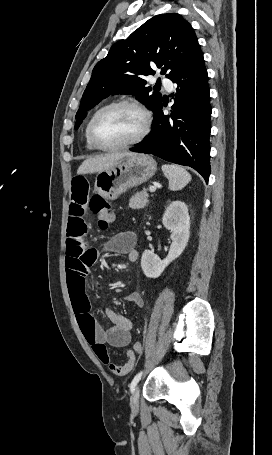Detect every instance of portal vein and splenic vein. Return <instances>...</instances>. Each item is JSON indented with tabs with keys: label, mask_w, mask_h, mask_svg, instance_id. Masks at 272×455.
Returning a JSON list of instances; mask_svg holds the SVG:
<instances>
[{
	"label": "portal vein and splenic vein",
	"mask_w": 272,
	"mask_h": 455,
	"mask_svg": "<svg viewBox=\"0 0 272 455\" xmlns=\"http://www.w3.org/2000/svg\"><path fill=\"white\" fill-rule=\"evenodd\" d=\"M149 190H150V192H155L156 191V187L155 186H150Z\"/></svg>",
	"instance_id": "portal-vein-and-splenic-vein-1"
}]
</instances>
